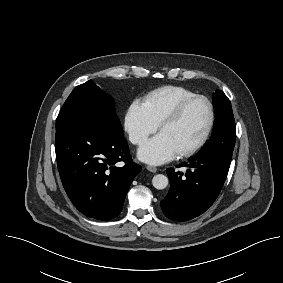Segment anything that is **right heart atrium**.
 I'll list each match as a JSON object with an SVG mask.
<instances>
[{
    "label": "right heart atrium",
    "instance_id": "1",
    "mask_svg": "<svg viewBox=\"0 0 283 283\" xmlns=\"http://www.w3.org/2000/svg\"><path fill=\"white\" fill-rule=\"evenodd\" d=\"M158 126L142 101L135 99L130 103L125 114L124 127L133 144L141 145L149 135L156 132Z\"/></svg>",
    "mask_w": 283,
    "mask_h": 283
}]
</instances>
